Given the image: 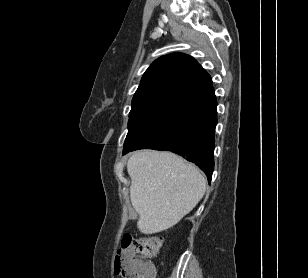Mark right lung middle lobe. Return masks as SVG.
Returning <instances> with one entry per match:
<instances>
[{"label":"right lung middle lobe","mask_w":308,"mask_h":278,"mask_svg":"<svg viewBox=\"0 0 308 278\" xmlns=\"http://www.w3.org/2000/svg\"><path fill=\"white\" fill-rule=\"evenodd\" d=\"M176 115L174 113H148L130 117L123 154L157 133Z\"/></svg>","instance_id":"obj_1"}]
</instances>
